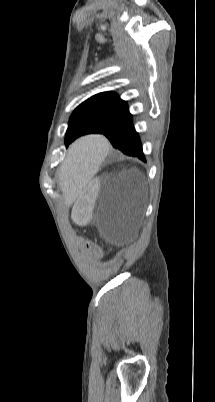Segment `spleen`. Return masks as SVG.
Listing matches in <instances>:
<instances>
[{
    "instance_id": "1",
    "label": "spleen",
    "mask_w": 215,
    "mask_h": 402,
    "mask_svg": "<svg viewBox=\"0 0 215 402\" xmlns=\"http://www.w3.org/2000/svg\"><path fill=\"white\" fill-rule=\"evenodd\" d=\"M107 153L106 138L103 133H78L77 143L71 153L73 165L67 169H55V178H61L59 190L65 202H70L71 193L84 187V182H94L95 175Z\"/></svg>"
}]
</instances>
